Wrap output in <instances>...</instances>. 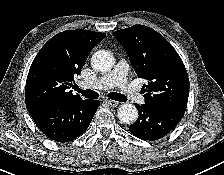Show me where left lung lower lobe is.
<instances>
[{
    "label": "left lung lower lobe",
    "mask_w": 224,
    "mask_h": 175,
    "mask_svg": "<svg viewBox=\"0 0 224 175\" xmlns=\"http://www.w3.org/2000/svg\"><path fill=\"white\" fill-rule=\"evenodd\" d=\"M138 120L129 126L130 132L143 140H158L166 136L181 121L185 111L145 103L135 104Z\"/></svg>",
    "instance_id": "obj_1"
}]
</instances>
